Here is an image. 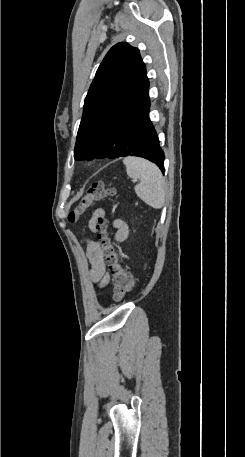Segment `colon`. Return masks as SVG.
<instances>
[{
	"label": "colon",
	"instance_id": "colon-1",
	"mask_svg": "<svg viewBox=\"0 0 245 457\" xmlns=\"http://www.w3.org/2000/svg\"><path fill=\"white\" fill-rule=\"evenodd\" d=\"M114 190L105 182H95L89 186L86 194L79 201L68 216L74 222L82 213L91 208L95 203L107 196L113 195ZM98 240L101 253L107 262L112 274L113 297L116 301L122 300L134 287V277L121 262L117 247L112 242L104 219L98 221Z\"/></svg>",
	"mask_w": 245,
	"mask_h": 457
}]
</instances>
